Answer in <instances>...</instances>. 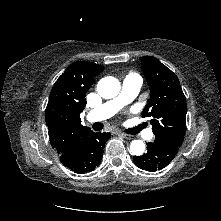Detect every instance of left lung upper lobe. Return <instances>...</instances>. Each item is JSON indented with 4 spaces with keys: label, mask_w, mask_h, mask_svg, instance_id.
Returning a JSON list of instances; mask_svg holds the SVG:
<instances>
[{
    "label": "left lung upper lobe",
    "mask_w": 221,
    "mask_h": 221,
    "mask_svg": "<svg viewBox=\"0 0 221 221\" xmlns=\"http://www.w3.org/2000/svg\"><path fill=\"white\" fill-rule=\"evenodd\" d=\"M150 87L142 116L150 117L155 140L180 147L186 130V100L177 76L152 56L141 59Z\"/></svg>",
    "instance_id": "1"
}]
</instances>
